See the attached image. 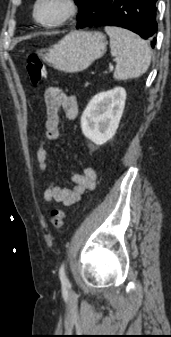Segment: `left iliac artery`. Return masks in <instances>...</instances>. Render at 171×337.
<instances>
[{
  "label": "left iliac artery",
  "instance_id": "left-iliac-artery-1",
  "mask_svg": "<svg viewBox=\"0 0 171 337\" xmlns=\"http://www.w3.org/2000/svg\"><path fill=\"white\" fill-rule=\"evenodd\" d=\"M59 277H60V280H61L62 284H68L69 283V281H68V279L66 277V273H65V264H64V262L60 266Z\"/></svg>",
  "mask_w": 171,
  "mask_h": 337
}]
</instances>
